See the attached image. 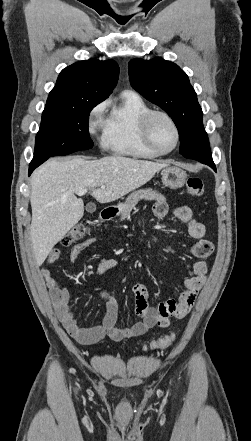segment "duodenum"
<instances>
[{
	"label": "duodenum",
	"mask_w": 251,
	"mask_h": 441,
	"mask_svg": "<svg viewBox=\"0 0 251 441\" xmlns=\"http://www.w3.org/2000/svg\"><path fill=\"white\" fill-rule=\"evenodd\" d=\"M117 212H118V210L116 207L106 208V209L102 210V212L100 214V218L103 221H108V220L112 219L113 217H115Z\"/></svg>",
	"instance_id": "1"
}]
</instances>
